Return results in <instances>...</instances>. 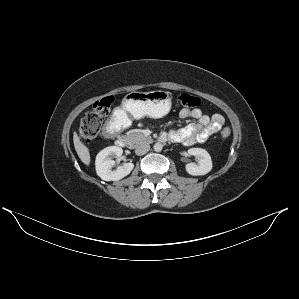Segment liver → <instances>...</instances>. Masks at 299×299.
Wrapping results in <instances>:
<instances>
[{
  "label": "liver",
  "mask_w": 299,
  "mask_h": 299,
  "mask_svg": "<svg viewBox=\"0 0 299 299\" xmlns=\"http://www.w3.org/2000/svg\"><path fill=\"white\" fill-rule=\"evenodd\" d=\"M73 143L79 158L85 165L88 166L91 161L89 149L81 142L76 132H74L73 135Z\"/></svg>",
  "instance_id": "liver-1"
}]
</instances>
